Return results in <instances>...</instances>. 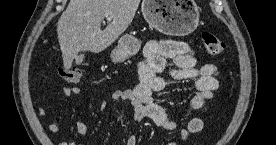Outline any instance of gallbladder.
I'll return each instance as SVG.
<instances>
[{
    "label": "gallbladder",
    "mask_w": 276,
    "mask_h": 145,
    "mask_svg": "<svg viewBox=\"0 0 276 145\" xmlns=\"http://www.w3.org/2000/svg\"><path fill=\"white\" fill-rule=\"evenodd\" d=\"M84 55L80 54L75 58L76 64H81L83 62Z\"/></svg>",
    "instance_id": "1"
}]
</instances>
